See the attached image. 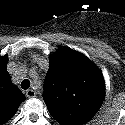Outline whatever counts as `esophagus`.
Listing matches in <instances>:
<instances>
[{
    "instance_id": "esophagus-1",
    "label": "esophagus",
    "mask_w": 125,
    "mask_h": 125,
    "mask_svg": "<svg viewBox=\"0 0 125 125\" xmlns=\"http://www.w3.org/2000/svg\"><path fill=\"white\" fill-rule=\"evenodd\" d=\"M35 95H36V92L32 89H28L26 91V96L29 97V98H33V97H35Z\"/></svg>"
}]
</instances>
